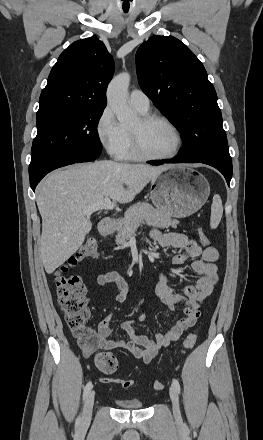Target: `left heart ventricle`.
<instances>
[{
	"mask_svg": "<svg viewBox=\"0 0 263 440\" xmlns=\"http://www.w3.org/2000/svg\"><path fill=\"white\" fill-rule=\"evenodd\" d=\"M140 136L143 147L154 155L171 153L176 146V138L170 127L161 121L142 125L139 118L130 126Z\"/></svg>",
	"mask_w": 263,
	"mask_h": 440,
	"instance_id": "obj_1",
	"label": "left heart ventricle"
}]
</instances>
